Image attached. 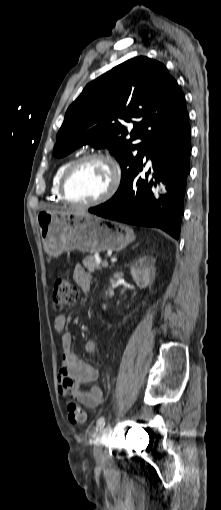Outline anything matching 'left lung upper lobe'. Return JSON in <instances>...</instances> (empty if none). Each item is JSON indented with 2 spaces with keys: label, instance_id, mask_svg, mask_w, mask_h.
Segmentation results:
<instances>
[{
  "label": "left lung upper lobe",
  "instance_id": "1",
  "mask_svg": "<svg viewBox=\"0 0 221 510\" xmlns=\"http://www.w3.org/2000/svg\"><path fill=\"white\" fill-rule=\"evenodd\" d=\"M133 122L128 132L120 121ZM184 94L166 67L139 56L86 85L71 104L56 136L54 154L63 157L91 144L108 148L121 166V192L156 138L184 125ZM136 139H143L135 144Z\"/></svg>",
  "mask_w": 221,
  "mask_h": 510
}]
</instances>
